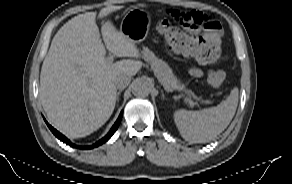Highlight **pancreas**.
<instances>
[{"instance_id": "obj_1", "label": "pancreas", "mask_w": 292, "mask_h": 184, "mask_svg": "<svg viewBox=\"0 0 292 184\" xmlns=\"http://www.w3.org/2000/svg\"><path fill=\"white\" fill-rule=\"evenodd\" d=\"M142 56L148 62L161 84L167 89L182 90L184 86L175 77L172 69L166 62L158 59L147 47L142 50Z\"/></svg>"}]
</instances>
